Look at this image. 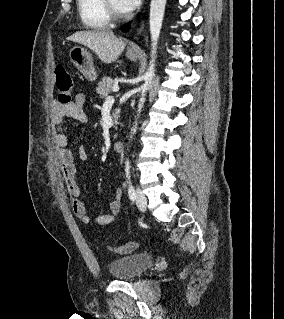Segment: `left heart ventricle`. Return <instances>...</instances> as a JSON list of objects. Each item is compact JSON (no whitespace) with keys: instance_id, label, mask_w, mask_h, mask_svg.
Returning a JSON list of instances; mask_svg holds the SVG:
<instances>
[{"instance_id":"b2bd125f","label":"left heart ventricle","mask_w":284,"mask_h":319,"mask_svg":"<svg viewBox=\"0 0 284 319\" xmlns=\"http://www.w3.org/2000/svg\"><path fill=\"white\" fill-rule=\"evenodd\" d=\"M111 3L118 12L125 13V11L121 8L119 4V0H111Z\"/></svg>"}]
</instances>
